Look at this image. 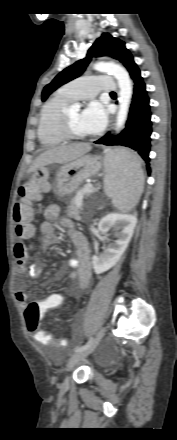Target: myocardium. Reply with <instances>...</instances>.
<instances>
[{
	"label": "myocardium",
	"mask_w": 177,
	"mask_h": 440,
	"mask_svg": "<svg viewBox=\"0 0 177 440\" xmlns=\"http://www.w3.org/2000/svg\"><path fill=\"white\" fill-rule=\"evenodd\" d=\"M68 109L64 108L59 121V130L64 138L65 141H76V140H82L86 138V135H80L75 133L70 124L69 116H68Z\"/></svg>",
	"instance_id": "f54148a6"
}]
</instances>
